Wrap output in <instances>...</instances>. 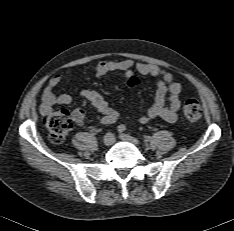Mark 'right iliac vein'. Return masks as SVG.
<instances>
[{"instance_id": "63e3f726", "label": "right iliac vein", "mask_w": 234, "mask_h": 231, "mask_svg": "<svg viewBox=\"0 0 234 231\" xmlns=\"http://www.w3.org/2000/svg\"><path fill=\"white\" fill-rule=\"evenodd\" d=\"M115 142V137L112 133H107L103 138V143L105 146H111Z\"/></svg>"}]
</instances>
